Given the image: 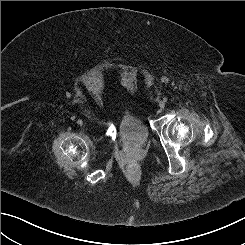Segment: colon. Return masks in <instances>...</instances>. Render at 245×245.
<instances>
[{
    "mask_svg": "<svg viewBox=\"0 0 245 245\" xmlns=\"http://www.w3.org/2000/svg\"><path fill=\"white\" fill-rule=\"evenodd\" d=\"M127 170L129 173H134L137 170V164L136 163H130L127 166Z\"/></svg>",
    "mask_w": 245,
    "mask_h": 245,
    "instance_id": "obj_1",
    "label": "colon"
}]
</instances>
